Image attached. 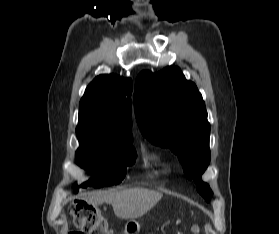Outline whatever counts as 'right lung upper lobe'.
<instances>
[{
    "instance_id": "cb5924a9",
    "label": "right lung upper lobe",
    "mask_w": 279,
    "mask_h": 234,
    "mask_svg": "<svg viewBox=\"0 0 279 234\" xmlns=\"http://www.w3.org/2000/svg\"><path fill=\"white\" fill-rule=\"evenodd\" d=\"M133 83L113 74L96 77L86 88L79 105L78 126L100 140L133 139L131 100Z\"/></svg>"
}]
</instances>
